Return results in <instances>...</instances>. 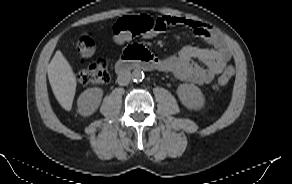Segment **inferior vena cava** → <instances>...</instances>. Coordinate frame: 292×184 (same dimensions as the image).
Listing matches in <instances>:
<instances>
[{
  "mask_svg": "<svg viewBox=\"0 0 292 184\" xmlns=\"http://www.w3.org/2000/svg\"><path fill=\"white\" fill-rule=\"evenodd\" d=\"M131 80V73L129 71L121 72L117 77V82L121 86L128 85Z\"/></svg>",
  "mask_w": 292,
  "mask_h": 184,
  "instance_id": "602c4592",
  "label": "inferior vena cava"
}]
</instances>
